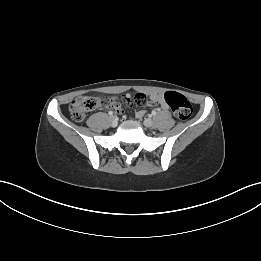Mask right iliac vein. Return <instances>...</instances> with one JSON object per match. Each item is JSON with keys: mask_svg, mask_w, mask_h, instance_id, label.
Instances as JSON below:
<instances>
[{"mask_svg": "<svg viewBox=\"0 0 261 261\" xmlns=\"http://www.w3.org/2000/svg\"><path fill=\"white\" fill-rule=\"evenodd\" d=\"M110 121H111L112 126H116L118 123V119L116 116H111Z\"/></svg>", "mask_w": 261, "mask_h": 261, "instance_id": "1", "label": "right iliac vein"}]
</instances>
